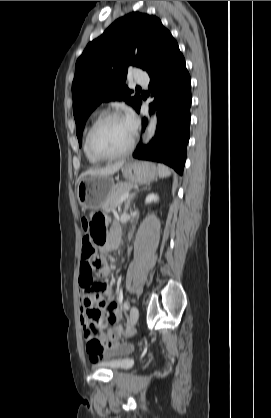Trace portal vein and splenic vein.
<instances>
[{
    "label": "portal vein and splenic vein",
    "instance_id": "portal-vein-and-splenic-vein-1",
    "mask_svg": "<svg viewBox=\"0 0 271 418\" xmlns=\"http://www.w3.org/2000/svg\"><path fill=\"white\" fill-rule=\"evenodd\" d=\"M129 195H130V193H129V192L125 193V194L121 197V199H120V203H122L124 200H126V199L129 197Z\"/></svg>",
    "mask_w": 271,
    "mask_h": 418
}]
</instances>
